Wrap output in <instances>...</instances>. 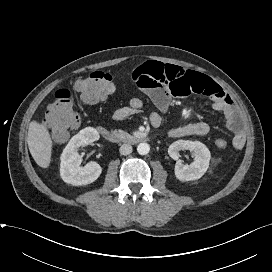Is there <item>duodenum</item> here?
I'll return each mask as SVG.
<instances>
[{"label": "duodenum", "instance_id": "410a0bca", "mask_svg": "<svg viewBox=\"0 0 272 272\" xmlns=\"http://www.w3.org/2000/svg\"><path fill=\"white\" fill-rule=\"evenodd\" d=\"M98 133L107 141L112 143H129V144H138L148 140V137L139 135V136H121L105 127H97Z\"/></svg>", "mask_w": 272, "mask_h": 272}]
</instances>
